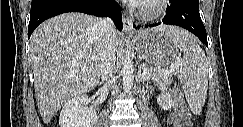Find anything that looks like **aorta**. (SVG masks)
I'll use <instances>...</instances> for the list:
<instances>
[{
    "label": "aorta",
    "instance_id": "762f6f07",
    "mask_svg": "<svg viewBox=\"0 0 243 127\" xmlns=\"http://www.w3.org/2000/svg\"><path fill=\"white\" fill-rule=\"evenodd\" d=\"M133 73L134 66L131 59V53L129 51H126L122 66V83L125 92H129L133 87Z\"/></svg>",
    "mask_w": 243,
    "mask_h": 127
}]
</instances>
